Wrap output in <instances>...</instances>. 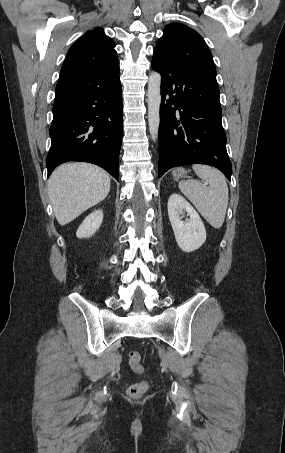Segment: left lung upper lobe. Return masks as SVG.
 I'll return each instance as SVG.
<instances>
[{"instance_id": "left-lung-upper-lobe-1", "label": "left lung upper lobe", "mask_w": 285, "mask_h": 453, "mask_svg": "<svg viewBox=\"0 0 285 453\" xmlns=\"http://www.w3.org/2000/svg\"><path fill=\"white\" fill-rule=\"evenodd\" d=\"M154 53L168 63L189 68L218 86L212 54L204 39L181 23H171L163 30Z\"/></svg>"}]
</instances>
